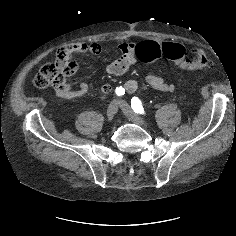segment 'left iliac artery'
Masks as SVG:
<instances>
[{"instance_id":"44dca946","label":"left iliac artery","mask_w":236,"mask_h":236,"mask_svg":"<svg viewBox=\"0 0 236 236\" xmlns=\"http://www.w3.org/2000/svg\"><path fill=\"white\" fill-rule=\"evenodd\" d=\"M131 107L133 111L137 114H145V111L143 109L142 103L138 97H132L131 99Z\"/></svg>"}]
</instances>
